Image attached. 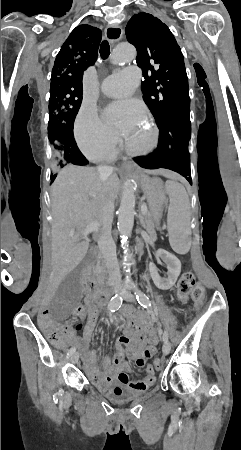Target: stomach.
Listing matches in <instances>:
<instances>
[{
	"instance_id": "obj_1",
	"label": "stomach",
	"mask_w": 241,
	"mask_h": 450,
	"mask_svg": "<svg viewBox=\"0 0 241 450\" xmlns=\"http://www.w3.org/2000/svg\"><path fill=\"white\" fill-rule=\"evenodd\" d=\"M139 182L147 198L151 215L154 221L158 223L166 203V194L162 182L157 178H150L145 175L139 176Z\"/></svg>"
}]
</instances>
